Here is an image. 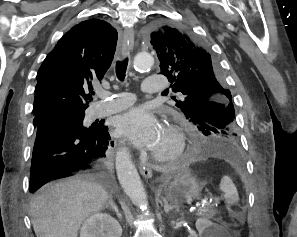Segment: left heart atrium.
I'll list each match as a JSON object with an SVG mask.
<instances>
[{"label":"left heart atrium","mask_w":297,"mask_h":237,"mask_svg":"<svg viewBox=\"0 0 297 237\" xmlns=\"http://www.w3.org/2000/svg\"><path fill=\"white\" fill-rule=\"evenodd\" d=\"M116 132L125 136L136 147L153 150L164 127L158 117L145 107H135L115 120Z\"/></svg>","instance_id":"39dd6f15"}]
</instances>
